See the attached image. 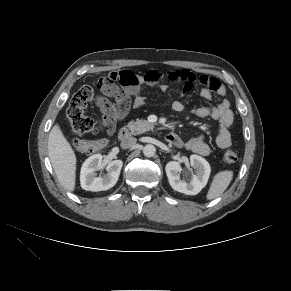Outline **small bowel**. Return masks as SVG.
Masks as SVG:
<instances>
[{
	"instance_id": "c3829d8e",
	"label": "small bowel",
	"mask_w": 291,
	"mask_h": 291,
	"mask_svg": "<svg viewBox=\"0 0 291 291\" xmlns=\"http://www.w3.org/2000/svg\"><path fill=\"white\" fill-rule=\"evenodd\" d=\"M111 81L110 88L105 92L107 97L113 98L114 102L106 99L105 104L100 108L102 113V124L107 132H112L117 121L125 118L131 107L138 108L144 104L145 97L142 90L146 86H158L162 91L166 90V85L162 82L169 80L183 83V92L189 93L197 81V77L188 69L171 70H149L143 75H137L131 71L122 70L111 72L108 76ZM118 81L121 87L114 82ZM199 81L203 84L200 95L206 100H212L213 95H217L220 101L217 105L196 107L191 112L200 118L209 117L218 123V133L216 136L217 145L224 149L231 145V134L229 131L233 123L234 115L230 107V101L226 97V89L220 82L211 76L202 75ZM172 109L176 112L184 110L181 101H174ZM172 142L177 147H185L187 150L207 155L210 151L203 136H196L188 141H183L178 135Z\"/></svg>"
}]
</instances>
